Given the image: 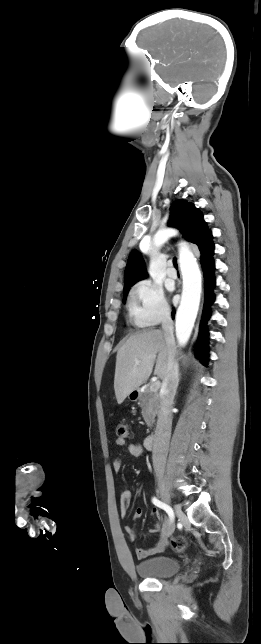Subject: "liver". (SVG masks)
Instances as JSON below:
<instances>
[{"mask_svg": "<svg viewBox=\"0 0 261 644\" xmlns=\"http://www.w3.org/2000/svg\"><path fill=\"white\" fill-rule=\"evenodd\" d=\"M169 352L170 347L161 330H144L126 340L116 356L114 390L118 404L148 380L156 356L154 374L165 379ZM136 360L140 361L138 365Z\"/></svg>", "mask_w": 261, "mask_h": 644, "instance_id": "1", "label": "liver"}]
</instances>
